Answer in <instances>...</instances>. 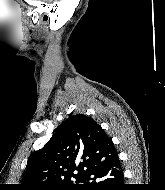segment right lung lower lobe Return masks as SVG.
<instances>
[{"label":"right lung lower lobe","mask_w":165,"mask_h":190,"mask_svg":"<svg viewBox=\"0 0 165 190\" xmlns=\"http://www.w3.org/2000/svg\"><path fill=\"white\" fill-rule=\"evenodd\" d=\"M118 154L91 167L81 177L78 190H126Z\"/></svg>","instance_id":"1"}]
</instances>
